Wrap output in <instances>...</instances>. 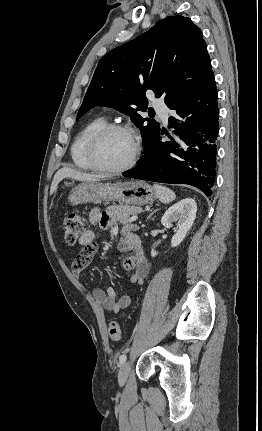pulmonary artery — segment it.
Wrapping results in <instances>:
<instances>
[{
	"label": "pulmonary artery",
	"mask_w": 262,
	"mask_h": 431,
	"mask_svg": "<svg viewBox=\"0 0 262 431\" xmlns=\"http://www.w3.org/2000/svg\"><path fill=\"white\" fill-rule=\"evenodd\" d=\"M153 106L161 114V117H162L164 123H167L169 110L166 107V105L164 104V102L161 99H158L153 103Z\"/></svg>",
	"instance_id": "pulmonary-artery-1"
}]
</instances>
